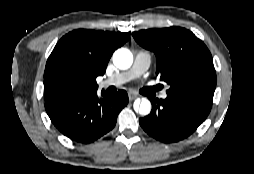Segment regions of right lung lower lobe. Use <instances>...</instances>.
<instances>
[{
	"label": "right lung lower lobe",
	"instance_id": "obj_1",
	"mask_svg": "<svg viewBox=\"0 0 254 174\" xmlns=\"http://www.w3.org/2000/svg\"><path fill=\"white\" fill-rule=\"evenodd\" d=\"M97 89L64 97L45 99V109L54 126L65 136L80 143H91L109 132L117 116L128 104L126 91L114 96Z\"/></svg>",
	"mask_w": 254,
	"mask_h": 174
}]
</instances>
